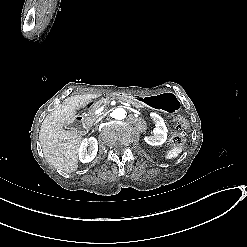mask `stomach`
Instances as JSON below:
<instances>
[{"instance_id":"1","label":"stomach","mask_w":247,"mask_h":247,"mask_svg":"<svg viewBox=\"0 0 247 247\" xmlns=\"http://www.w3.org/2000/svg\"><path fill=\"white\" fill-rule=\"evenodd\" d=\"M138 100L143 106L168 113H177L180 110V100L171 91L138 97Z\"/></svg>"}]
</instances>
